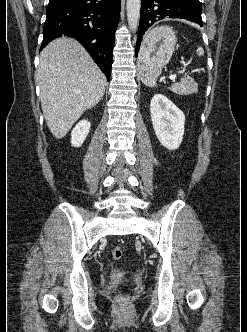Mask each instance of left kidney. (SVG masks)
I'll return each instance as SVG.
<instances>
[{"label":"left kidney","instance_id":"left-kidney-1","mask_svg":"<svg viewBox=\"0 0 247 332\" xmlns=\"http://www.w3.org/2000/svg\"><path fill=\"white\" fill-rule=\"evenodd\" d=\"M150 113L159 142L169 150L177 149L184 135V113L162 94L153 96Z\"/></svg>","mask_w":247,"mask_h":332}]
</instances>
